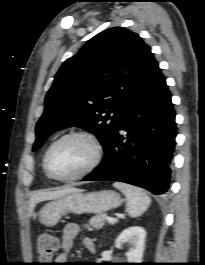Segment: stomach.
I'll list each match as a JSON object with an SVG mask.
<instances>
[{
    "label": "stomach",
    "instance_id": "stomach-1",
    "mask_svg": "<svg viewBox=\"0 0 205 265\" xmlns=\"http://www.w3.org/2000/svg\"><path fill=\"white\" fill-rule=\"evenodd\" d=\"M122 200L118 193L111 190L95 192H73L45 204L39 212L40 223L52 227L68 213L103 214L120 206Z\"/></svg>",
    "mask_w": 205,
    "mask_h": 265
}]
</instances>
